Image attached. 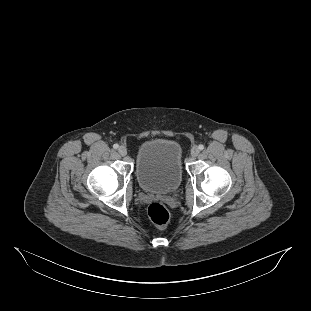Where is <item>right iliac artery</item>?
<instances>
[{
    "instance_id": "1",
    "label": "right iliac artery",
    "mask_w": 311,
    "mask_h": 311,
    "mask_svg": "<svg viewBox=\"0 0 311 311\" xmlns=\"http://www.w3.org/2000/svg\"><path fill=\"white\" fill-rule=\"evenodd\" d=\"M113 148H114V149H118V148H119V145H118V144H114V145H113Z\"/></svg>"
}]
</instances>
